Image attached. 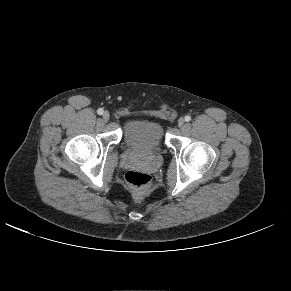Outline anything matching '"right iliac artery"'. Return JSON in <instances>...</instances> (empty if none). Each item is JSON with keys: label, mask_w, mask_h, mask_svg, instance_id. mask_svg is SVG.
Masks as SVG:
<instances>
[{"label": "right iliac artery", "mask_w": 291, "mask_h": 291, "mask_svg": "<svg viewBox=\"0 0 291 291\" xmlns=\"http://www.w3.org/2000/svg\"><path fill=\"white\" fill-rule=\"evenodd\" d=\"M103 109L102 108H99L98 110H97V113L99 114V115H102L103 114Z\"/></svg>", "instance_id": "1"}]
</instances>
